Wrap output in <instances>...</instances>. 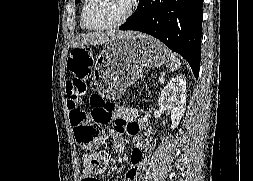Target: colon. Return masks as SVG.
I'll use <instances>...</instances> for the list:
<instances>
[{
    "label": "colon",
    "instance_id": "obj_1",
    "mask_svg": "<svg viewBox=\"0 0 253 181\" xmlns=\"http://www.w3.org/2000/svg\"><path fill=\"white\" fill-rule=\"evenodd\" d=\"M80 53H92V48H73L68 60L70 79L67 83V94L70 123L77 144L90 149L84 159L85 166L91 171L101 172L109 162V154L100 148L104 139L103 125L110 122L113 106L104 103L96 95L86 100L87 93L75 89L73 80L79 71Z\"/></svg>",
    "mask_w": 253,
    "mask_h": 181
}]
</instances>
